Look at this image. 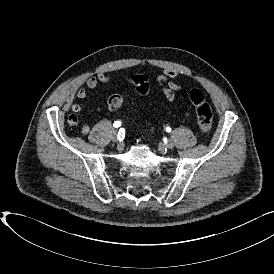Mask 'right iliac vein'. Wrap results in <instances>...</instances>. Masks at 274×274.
<instances>
[{
    "instance_id": "63e3f726",
    "label": "right iliac vein",
    "mask_w": 274,
    "mask_h": 274,
    "mask_svg": "<svg viewBox=\"0 0 274 274\" xmlns=\"http://www.w3.org/2000/svg\"><path fill=\"white\" fill-rule=\"evenodd\" d=\"M112 140H113V142H118V138H117V134L116 133L113 134Z\"/></svg>"
}]
</instances>
